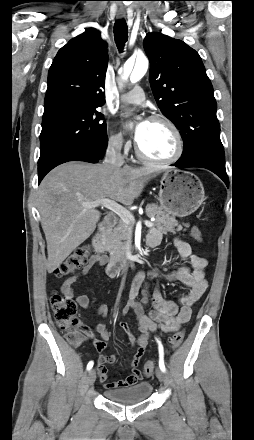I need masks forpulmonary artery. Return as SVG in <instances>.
<instances>
[{"mask_svg": "<svg viewBox=\"0 0 254 440\" xmlns=\"http://www.w3.org/2000/svg\"><path fill=\"white\" fill-rule=\"evenodd\" d=\"M144 99H145V94L142 87L140 86L134 87L131 91L120 97L121 102L133 103V104H139L143 102Z\"/></svg>", "mask_w": 254, "mask_h": 440, "instance_id": "obj_1", "label": "pulmonary artery"}]
</instances>
